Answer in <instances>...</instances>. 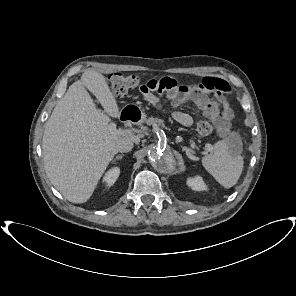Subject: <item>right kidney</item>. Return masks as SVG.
Listing matches in <instances>:
<instances>
[{
  "label": "right kidney",
  "instance_id": "right-kidney-1",
  "mask_svg": "<svg viewBox=\"0 0 296 296\" xmlns=\"http://www.w3.org/2000/svg\"><path fill=\"white\" fill-rule=\"evenodd\" d=\"M120 169L118 167H113L109 169L103 178V182H105L106 186L110 187L112 186L117 178L119 177Z\"/></svg>",
  "mask_w": 296,
  "mask_h": 296
}]
</instances>
